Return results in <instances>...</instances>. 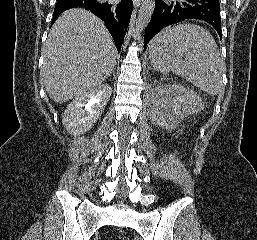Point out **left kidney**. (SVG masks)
<instances>
[{
	"mask_svg": "<svg viewBox=\"0 0 257 240\" xmlns=\"http://www.w3.org/2000/svg\"><path fill=\"white\" fill-rule=\"evenodd\" d=\"M202 99L193 90L181 85H162L153 89L149 113L152 122L166 129H173L188 114L198 112Z\"/></svg>",
	"mask_w": 257,
	"mask_h": 240,
	"instance_id": "1",
	"label": "left kidney"
}]
</instances>
